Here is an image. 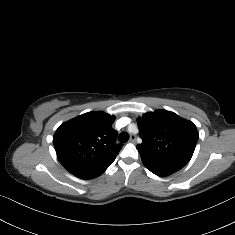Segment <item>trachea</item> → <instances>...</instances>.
Masks as SVG:
<instances>
[{
    "label": "trachea",
    "instance_id": "3493384b",
    "mask_svg": "<svg viewBox=\"0 0 235 235\" xmlns=\"http://www.w3.org/2000/svg\"><path fill=\"white\" fill-rule=\"evenodd\" d=\"M128 139H129L128 133H126V132L120 133V135H119V141L120 142L126 143L128 141Z\"/></svg>",
    "mask_w": 235,
    "mask_h": 235
}]
</instances>
